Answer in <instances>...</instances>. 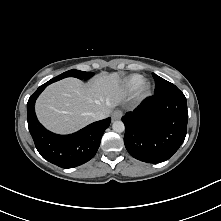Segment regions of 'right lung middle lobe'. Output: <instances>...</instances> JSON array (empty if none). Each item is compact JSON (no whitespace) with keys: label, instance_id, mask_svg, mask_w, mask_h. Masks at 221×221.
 <instances>
[{"label":"right lung middle lobe","instance_id":"right-lung-middle-lobe-1","mask_svg":"<svg viewBox=\"0 0 221 221\" xmlns=\"http://www.w3.org/2000/svg\"><path fill=\"white\" fill-rule=\"evenodd\" d=\"M93 75H94L93 72H84V71H80V70H69V71H66V72L58 75L57 77L49 80L48 84H51L53 82H56L60 79L66 78V77H76L81 80L82 79L87 80V79L91 78Z\"/></svg>","mask_w":221,"mask_h":221}]
</instances>
